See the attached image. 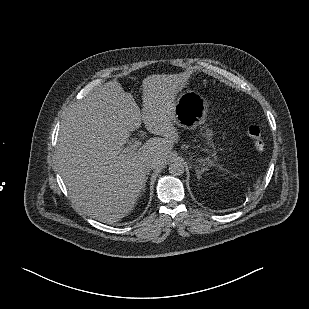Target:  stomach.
<instances>
[{
	"mask_svg": "<svg viewBox=\"0 0 309 309\" xmlns=\"http://www.w3.org/2000/svg\"><path fill=\"white\" fill-rule=\"evenodd\" d=\"M208 103L192 93L183 95L173 109V122L184 128H191L205 122Z\"/></svg>",
	"mask_w": 309,
	"mask_h": 309,
	"instance_id": "0dacf381",
	"label": "stomach"
}]
</instances>
